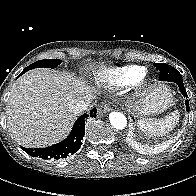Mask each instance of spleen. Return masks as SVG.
Here are the masks:
<instances>
[{"label":"spleen","instance_id":"spleen-1","mask_svg":"<svg viewBox=\"0 0 196 196\" xmlns=\"http://www.w3.org/2000/svg\"><path fill=\"white\" fill-rule=\"evenodd\" d=\"M179 111L169 113L164 118H142L137 124L140 130L149 136H160L169 133L179 122Z\"/></svg>","mask_w":196,"mask_h":196}]
</instances>
